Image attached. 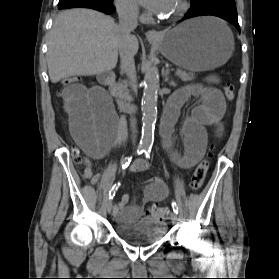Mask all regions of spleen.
<instances>
[{"instance_id":"3e777b00","label":"spleen","mask_w":279,"mask_h":279,"mask_svg":"<svg viewBox=\"0 0 279 279\" xmlns=\"http://www.w3.org/2000/svg\"><path fill=\"white\" fill-rule=\"evenodd\" d=\"M208 80L211 82H218V80L215 77H210L208 78Z\"/></svg>"}]
</instances>
